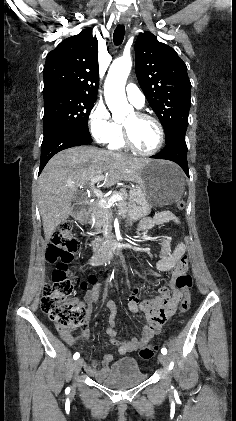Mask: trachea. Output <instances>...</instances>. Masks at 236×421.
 <instances>
[{"label": "trachea", "instance_id": "1", "mask_svg": "<svg viewBox=\"0 0 236 421\" xmlns=\"http://www.w3.org/2000/svg\"><path fill=\"white\" fill-rule=\"evenodd\" d=\"M125 36V26L124 25H117L114 34H113V42L116 46L121 45L124 40Z\"/></svg>", "mask_w": 236, "mask_h": 421}]
</instances>
